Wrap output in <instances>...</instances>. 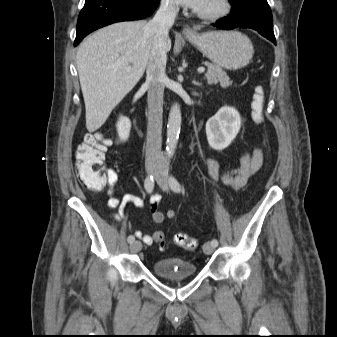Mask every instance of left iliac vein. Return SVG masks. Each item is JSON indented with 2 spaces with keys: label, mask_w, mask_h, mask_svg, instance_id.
Masks as SVG:
<instances>
[{
  "label": "left iliac vein",
  "mask_w": 337,
  "mask_h": 337,
  "mask_svg": "<svg viewBox=\"0 0 337 337\" xmlns=\"http://www.w3.org/2000/svg\"><path fill=\"white\" fill-rule=\"evenodd\" d=\"M155 180L163 191L168 192V177L164 167H161L156 171ZM214 250L215 246L212 245L211 242H206L203 246V251L205 254H212Z\"/></svg>",
  "instance_id": "4c4485c4"
}]
</instances>
